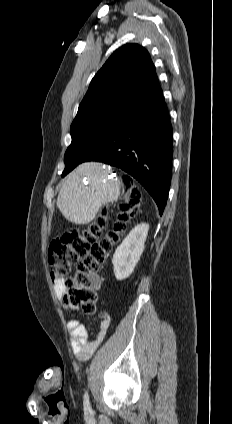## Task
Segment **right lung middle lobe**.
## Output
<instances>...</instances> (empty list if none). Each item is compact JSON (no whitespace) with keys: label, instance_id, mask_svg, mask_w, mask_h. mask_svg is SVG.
Wrapping results in <instances>:
<instances>
[{"label":"right lung middle lobe","instance_id":"obj_1","mask_svg":"<svg viewBox=\"0 0 232 424\" xmlns=\"http://www.w3.org/2000/svg\"><path fill=\"white\" fill-rule=\"evenodd\" d=\"M132 105L109 103L77 113L70 133L72 142L65 152L62 177L73 170L115 129L128 121Z\"/></svg>","mask_w":232,"mask_h":424}]
</instances>
